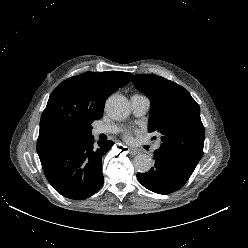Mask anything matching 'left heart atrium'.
Wrapping results in <instances>:
<instances>
[{
  "label": "left heart atrium",
  "instance_id": "1",
  "mask_svg": "<svg viewBox=\"0 0 248 248\" xmlns=\"http://www.w3.org/2000/svg\"><path fill=\"white\" fill-rule=\"evenodd\" d=\"M126 139L130 140L131 139V135L130 134H126Z\"/></svg>",
  "mask_w": 248,
  "mask_h": 248
}]
</instances>
